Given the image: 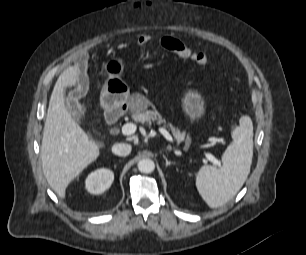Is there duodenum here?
I'll return each mask as SVG.
<instances>
[{
  "mask_svg": "<svg viewBox=\"0 0 306 255\" xmlns=\"http://www.w3.org/2000/svg\"><path fill=\"white\" fill-rule=\"evenodd\" d=\"M122 112H123L122 109H110V110H108L107 113H106L107 121L110 124H115L118 121V119L120 118Z\"/></svg>",
  "mask_w": 306,
  "mask_h": 255,
  "instance_id": "410a0bca",
  "label": "duodenum"
}]
</instances>
